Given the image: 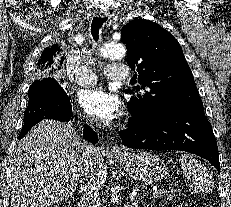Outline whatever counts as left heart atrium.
<instances>
[{"label":"left heart atrium","mask_w":231,"mask_h":207,"mask_svg":"<svg viewBox=\"0 0 231 207\" xmlns=\"http://www.w3.org/2000/svg\"><path fill=\"white\" fill-rule=\"evenodd\" d=\"M79 103L89 115L100 120L112 121L121 114L120 100L103 88L82 91Z\"/></svg>","instance_id":"1"}]
</instances>
